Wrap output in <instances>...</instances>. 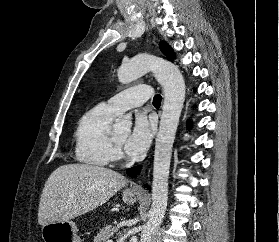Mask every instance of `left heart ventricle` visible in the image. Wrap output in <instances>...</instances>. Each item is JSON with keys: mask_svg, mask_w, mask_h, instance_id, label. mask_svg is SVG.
<instances>
[{"mask_svg": "<svg viewBox=\"0 0 279 242\" xmlns=\"http://www.w3.org/2000/svg\"><path fill=\"white\" fill-rule=\"evenodd\" d=\"M128 135H129V129H125V130L117 132L114 135V138L118 143L123 145V144H125V142L128 138Z\"/></svg>", "mask_w": 279, "mask_h": 242, "instance_id": "left-heart-ventricle-1", "label": "left heart ventricle"}]
</instances>
